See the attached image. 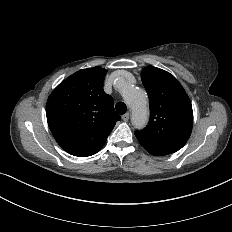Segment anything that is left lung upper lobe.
Instances as JSON below:
<instances>
[{"mask_svg": "<svg viewBox=\"0 0 232 232\" xmlns=\"http://www.w3.org/2000/svg\"><path fill=\"white\" fill-rule=\"evenodd\" d=\"M150 103L146 128L135 131L139 142L159 145L174 151L190 137L193 125L192 105L184 88L165 70L147 66L141 73Z\"/></svg>", "mask_w": 232, "mask_h": 232, "instance_id": "5c2ea615", "label": "left lung upper lobe"}]
</instances>
